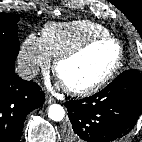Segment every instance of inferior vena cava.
<instances>
[{"instance_id":"obj_1","label":"inferior vena cava","mask_w":142,"mask_h":142,"mask_svg":"<svg viewBox=\"0 0 142 142\" xmlns=\"http://www.w3.org/2000/svg\"><path fill=\"white\" fill-rule=\"evenodd\" d=\"M17 73L22 79L31 80L38 75L39 68L34 65L19 64L17 68Z\"/></svg>"}]
</instances>
